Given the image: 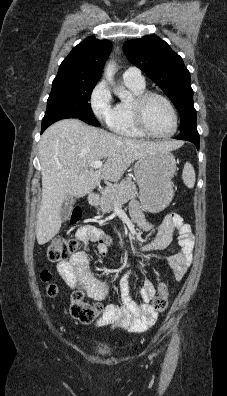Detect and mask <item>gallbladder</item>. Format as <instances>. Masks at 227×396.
Here are the masks:
<instances>
[{
    "label": "gallbladder",
    "instance_id": "bac80fb5",
    "mask_svg": "<svg viewBox=\"0 0 227 396\" xmlns=\"http://www.w3.org/2000/svg\"><path fill=\"white\" fill-rule=\"evenodd\" d=\"M73 202H74L73 196L68 195L65 198V200L61 206V209H60V216H61L62 221L67 220L68 217L70 216Z\"/></svg>",
    "mask_w": 227,
    "mask_h": 396
}]
</instances>
